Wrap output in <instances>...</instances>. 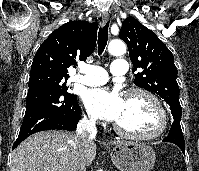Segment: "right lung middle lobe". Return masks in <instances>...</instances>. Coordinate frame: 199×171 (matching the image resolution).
I'll return each mask as SVG.
<instances>
[{
	"mask_svg": "<svg viewBox=\"0 0 199 171\" xmlns=\"http://www.w3.org/2000/svg\"><path fill=\"white\" fill-rule=\"evenodd\" d=\"M64 80H67V77H59V76L48 75V74L34 75V76H30L29 86H32L35 84H49L61 90L65 95L76 96L72 93L67 92L68 87L66 86V83L64 82Z\"/></svg>",
	"mask_w": 199,
	"mask_h": 171,
	"instance_id": "1",
	"label": "right lung middle lobe"
}]
</instances>
